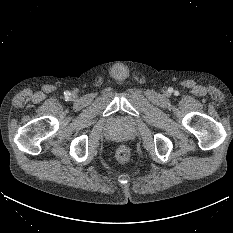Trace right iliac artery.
<instances>
[{
  "mask_svg": "<svg viewBox=\"0 0 233 233\" xmlns=\"http://www.w3.org/2000/svg\"><path fill=\"white\" fill-rule=\"evenodd\" d=\"M65 95L68 97V95H69V92H66V93H65Z\"/></svg>",
  "mask_w": 233,
  "mask_h": 233,
  "instance_id": "1",
  "label": "right iliac artery"
}]
</instances>
